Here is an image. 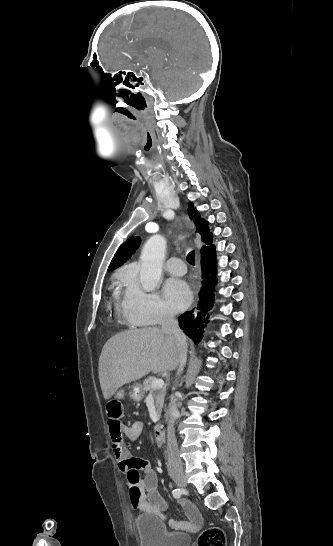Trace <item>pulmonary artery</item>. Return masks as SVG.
I'll return each instance as SVG.
<instances>
[{"mask_svg":"<svg viewBox=\"0 0 333 546\" xmlns=\"http://www.w3.org/2000/svg\"><path fill=\"white\" fill-rule=\"evenodd\" d=\"M164 268L167 272L173 275H183L186 273V266L184 262L176 257L169 258L166 261Z\"/></svg>","mask_w":333,"mask_h":546,"instance_id":"e3ab8cb5","label":"pulmonary artery"}]
</instances>
